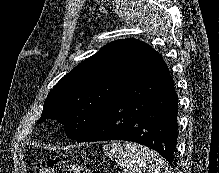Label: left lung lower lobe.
<instances>
[{
  "instance_id": "1",
  "label": "left lung lower lobe",
  "mask_w": 219,
  "mask_h": 173,
  "mask_svg": "<svg viewBox=\"0 0 219 173\" xmlns=\"http://www.w3.org/2000/svg\"><path fill=\"white\" fill-rule=\"evenodd\" d=\"M177 100L167 65L155 51L137 81L110 103L77 141H134L154 149L172 165Z\"/></svg>"
}]
</instances>
